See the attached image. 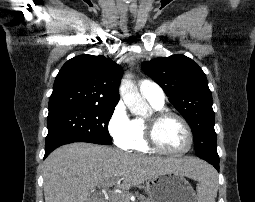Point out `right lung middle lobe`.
Segmentation results:
<instances>
[{
  "label": "right lung middle lobe",
  "mask_w": 255,
  "mask_h": 202,
  "mask_svg": "<svg viewBox=\"0 0 255 202\" xmlns=\"http://www.w3.org/2000/svg\"><path fill=\"white\" fill-rule=\"evenodd\" d=\"M115 106H83L48 115L46 145L65 142H90L108 145V123Z\"/></svg>",
  "instance_id": "1"
}]
</instances>
